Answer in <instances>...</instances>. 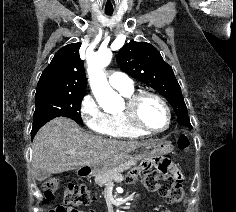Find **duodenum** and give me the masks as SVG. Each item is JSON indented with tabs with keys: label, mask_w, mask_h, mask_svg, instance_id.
<instances>
[{
	"label": "duodenum",
	"mask_w": 236,
	"mask_h": 212,
	"mask_svg": "<svg viewBox=\"0 0 236 212\" xmlns=\"http://www.w3.org/2000/svg\"><path fill=\"white\" fill-rule=\"evenodd\" d=\"M88 173H89L88 171H84V172H83L84 175H87Z\"/></svg>",
	"instance_id": "410a0bca"
}]
</instances>
